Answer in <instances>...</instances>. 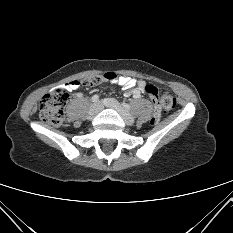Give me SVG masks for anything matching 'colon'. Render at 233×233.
<instances>
[{
	"label": "colon",
	"mask_w": 233,
	"mask_h": 233,
	"mask_svg": "<svg viewBox=\"0 0 233 233\" xmlns=\"http://www.w3.org/2000/svg\"><path fill=\"white\" fill-rule=\"evenodd\" d=\"M110 73V72H109ZM102 74L87 77L80 82L85 87H94L111 81H106ZM145 91L153 96L155 104V114L150 123L156 124L161 113H167L175 107V97L165 89H158L153 85L147 84ZM68 101V93L62 88H58L45 95L40 103L41 119L53 126L60 127L65 124L64 108Z\"/></svg>",
	"instance_id": "colon-1"
}]
</instances>
